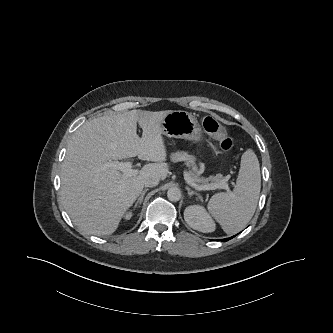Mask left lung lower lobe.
I'll return each mask as SVG.
<instances>
[{"instance_id":"0a47b994","label":"left lung lower lobe","mask_w":333,"mask_h":333,"mask_svg":"<svg viewBox=\"0 0 333 333\" xmlns=\"http://www.w3.org/2000/svg\"><path fill=\"white\" fill-rule=\"evenodd\" d=\"M233 237H235V236H233ZM233 237H231V238H233ZM231 238H225V239H222V241L226 242V241L230 240Z\"/></svg>"}]
</instances>
